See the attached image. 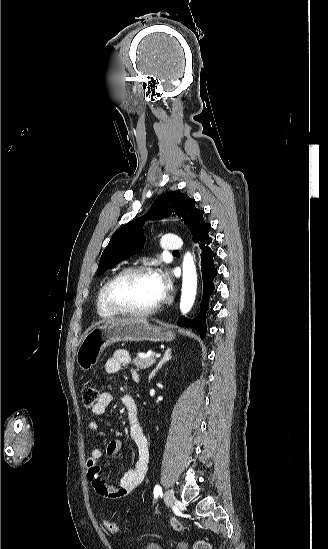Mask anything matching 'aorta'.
<instances>
[{"label": "aorta", "instance_id": "obj_1", "mask_svg": "<svg viewBox=\"0 0 328 549\" xmlns=\"http://www.w3.org/2000/svg\"><path fill=\"white\" fill-rule=\"evenodd\" d=\"M197 291V272L192 255L187 252L183 258V281L180 300L182 314H187L195 301Z\"/></svg>", "mask_w": 328, "mask_h": 549}]
</instances>
